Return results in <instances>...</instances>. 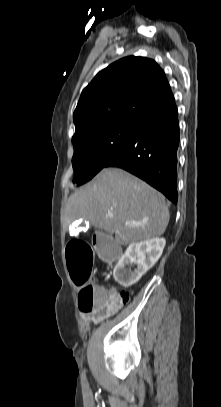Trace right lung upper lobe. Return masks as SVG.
Segmentation results:
<instances>
[{
    "instance_id": "obj_1",
    "label": "right lung upper lobe",
    "mask_w": 221,
    "mask_h": 407,
    "mask_svg": "<svg viewBox=\"0 0 221 407\" xmlns=\"http://www.w3.org/2000/svg\"><path fill=\"white\" fill-rule=\"evenodd\" d=\"M173 97L158 64L148 58L130 56L100 71L82 91L73 114L79 138L116 124H138Z\"/></svg>"
}]
</instances>
